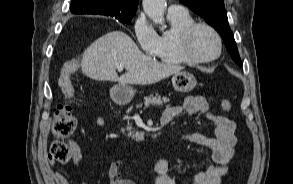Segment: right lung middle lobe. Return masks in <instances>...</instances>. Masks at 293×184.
Wrapping results in <instances>:
<instances>
[{
    "mask_svg": "<svg viewBox=\"0 0 293 184\" xmlns=\"http://www.w3.org/2000/svg\"><path fill=\"white\" fill-rule=\"evenodd\" d=\"M133 17H127V18H119L118 20L121 22V23H127L129 22Z\"/></svg>",
    "mask_w": 293,
    "mask_h": 184,
    "instance_id": "dd1d6c3e",
    "label": "right lung middle lobe"
}]
</instances>
